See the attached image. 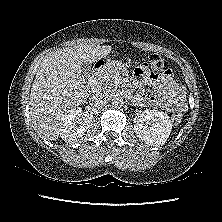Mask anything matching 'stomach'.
Masks as SVG:
<instances>
[{
	"instance_id": "0dacf381",
	"label": "stomach",
	"mask_w": 222,
	"mask_h": 222,
	"mask_svg": "<svg viewBox=\"0 0 222 222\" xmlns=\"http://www.w3.org/2000/svg\"><path fill=\"white\" fill-rule=\"evenodd\" d=\"M117 68L118 69H121L122 71L123 70H125L126 69V66L125 65H121V64H119V65H114L113 63H109L106 67H105V70L106 71H108V70H114V71H116L117 70Z\"/></svg>"
}]
</instances>
